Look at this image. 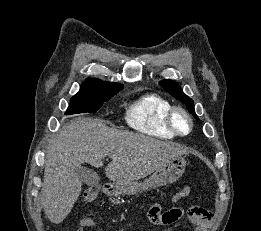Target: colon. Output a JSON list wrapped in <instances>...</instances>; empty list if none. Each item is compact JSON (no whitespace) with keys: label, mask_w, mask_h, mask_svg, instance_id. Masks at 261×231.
<instances>
[{"label":"colon","mask_w":261,"mask_h":231,"mask_svg":"<svg viewBox=\"0 0 261 231\" xmlns=\"http://www.w3.org/2000/svg\"><path fill=\"white\" fill-rule=\"evenodd\" d=\"M187 215L196 228H199L201 231H209L213 218V213L210 210L193 205L188 208Z\"/></svg>","instance_id":"obj_1"}]
</instances>
